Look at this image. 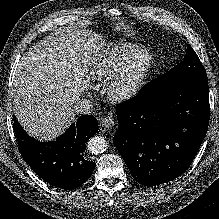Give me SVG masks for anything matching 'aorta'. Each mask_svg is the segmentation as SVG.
<instances>
[{
  "instance_id": "762f6f07",
  "label": "aorta",
  "mask_w": 219,
  "mask_h": 219,
  "mask_svg": "<svg viewBox=\"0 0 219 219\" xmlns=\"http://www.w3.org/2000/svg\"><path fill=\"white\" fill-rule=\"evenodd\" d=\"M87 147L92 154L97 155L107 149V142L103 137L95 136L88 140Z\"/></svg>"
}]
</instances>
